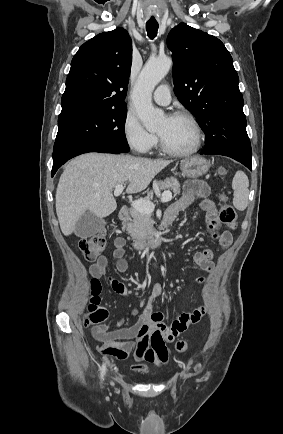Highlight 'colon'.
<instances>
[{
	"label": "colon",
	"mask_w": 283,
	"mask_h": 434,
	"mask_svg": "<svg viewBox=\"0 0 283 434\" xmlns=\"http://www.w3.org/2000/svg\"><path fill=\"white\" fill-rule=\"evenodd\" d=\"M219 219L229 228L234 229L237 224V213L235 208L229 204L225 196L221 197V205L219 211ZM106 237L103 231L89 237H83L78 242V247L83 256L88 261H95L104 251L106 247ZM91 298L87 307V314L84 322L85 326H99L108 318V311L100 306V290L101 285L97 279H92L90 282ZM176 350L184 352L188 348L186 340H179L176 343Z\"/></svg>",
	"instance_id": "colon-1"
}]
</instances>
